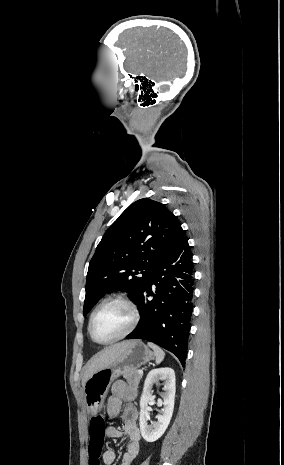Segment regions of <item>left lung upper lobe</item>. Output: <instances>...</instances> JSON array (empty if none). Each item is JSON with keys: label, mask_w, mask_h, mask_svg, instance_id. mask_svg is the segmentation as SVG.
Segmentation results:
<instances>
[{"label": "left lung upper lobe", "mask_w": 284, "mask_h": 465, "mask_svg": "<svg viewBox=\"0 0 284 465\" xmlns=\"http://www.w3.org/2000/svg\"><path fill=\"white\" fill-rule=\"evenodd\" d=\"M180 228L160 202L143 198L131 204L106 231L89 263L83 314L108 291H126L137 301Z\"/></svg>", "instance_id": "left-lung-upper-lobe-1"}]
</instances>
